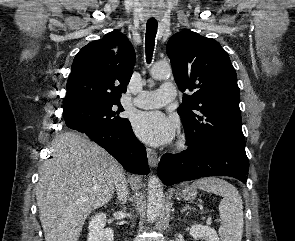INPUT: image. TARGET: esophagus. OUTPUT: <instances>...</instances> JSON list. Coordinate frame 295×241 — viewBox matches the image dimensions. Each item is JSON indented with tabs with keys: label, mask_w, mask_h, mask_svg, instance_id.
<instances>
[{
	"label": "esophagus",
	"mask_w": 295,
	"mask_h": 241,
	"mask_svg": "<svg viewBox=\"0 0 295 241\" xmlns=\"http://www.w3.org/2000/svg\"><path fill=\"white\" fill-rule=\"evenodd\" d=\"M147 158L149 165L151 167H156L158 164V155L157 152L149 147L146 148Z\"/></svg>",
	"instance_id": "obj_1"
}]
</instances>
